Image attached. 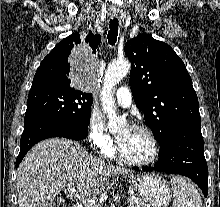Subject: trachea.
Returning <instances> with one entry per match:
<instances>
[{
	"label": "trachea",
	"instance_id": "1",
	"mask_svg": "<svg viewBox=\"0 0 220 207\" xmlns=\"http://www.w3.org/2000/svg\"><path fill=\"white\" fill-rule=\"evenodd\" d=\"M118 27H119V22L118 19H112L110 20L109 24V32H108V42L110 45H115L118 37Z\"/></svg>",
	"mask_w": 220,
	"mask_h": 207
}]
</instances>
